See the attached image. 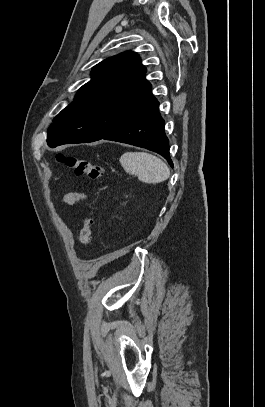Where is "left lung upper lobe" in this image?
I'll return each instance as SVG.
<instances>
[{
    "mask_svg": "<svg viewBox=\"0 0 265 407\" xmlns=\"http://www.w3.org/2000/svg\"><path fill=\"white\" fill-rule=\"evenodd\" d=\"M145 73L146 68L134 52H124L97 64L92 79L53 119L48 129V146L100 140L154 107L158 101Z\"/></svg>",
    "mask_w": 265,
    "mask_h": 407,
    "instance_id": "obj_1",
    "label": "left lung upper lobe"
}]
</instances>
